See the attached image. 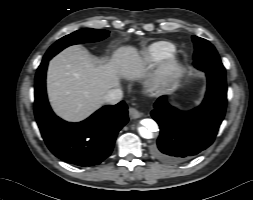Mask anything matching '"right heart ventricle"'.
Masks as SVG:
<instances>
[{
    "mask_svg": "<svg viewBox=\"0 0 253 200\" xmlns=\"http://www.w3.org/2000/svg\"><path fill=\"white\" fill-rule=\"evenodd\" d=\"M174 52L175 46L173 44L165 41L154 42L144 49L143 60L149 64L157 63Z\"/></svg>",
    "mask_w": 253,
    "mask_h": 200,
    "instance_id": "1",
    "label": "right heart ventricle"
}]
</instances>
